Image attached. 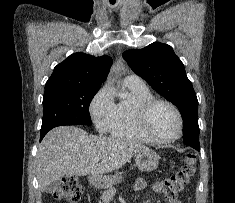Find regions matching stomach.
Listing matches in <instances>:
<instances>
[{"mask_svg":"<svg viewBox=\"0 0 235 203\" xmlns=\"http://www.w3.org/2000/svg\"><path fill=\"white\" fill-rule=\"evenodd\" d=\"M135 162L139 170L150 172L157 168L159 156L151 149H144L135 155ZM122 180L121 174L115 175H93L90 183L96 188H109Z\"/></svg>","mask_w":235,"mask_h":203,"instance_id":"stomach-1","label":"stomach"}]
</instances>
